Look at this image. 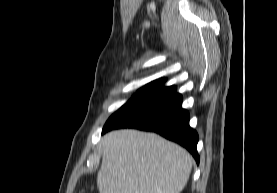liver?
I'll return each mask as SVG.
<instances>
[{
  "instance_id": "obj_1",
  "label": "liver",
  "mask_w": 277,
  "mask_h": 193,
  "mask_svg": "<svg viewBox=\"0 0 277 193\" xmlns=\"http://www.w3.org/2000/svg\"><path fill=\"white\" fill-rule=\"evenodd\" d=\"M101 147L99 193H180L192 170V156L155 133L112 131Z\"/></svg>"
}]
</instances>
